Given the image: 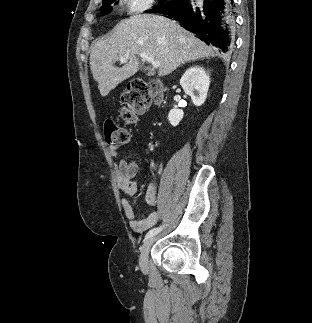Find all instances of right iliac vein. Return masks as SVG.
Listing matches in <instances>:
<instances>
[{"label": "right iliac vein", "mask_w": 312, "mask_h": 323, "mask_svg": "<svg viewBox=\"0 0 312 323\" xmlns=\"http://www.w3.org/2000/svg\"><path fill=\"white\" fill-rule=\"evenodd\" d=\"M153 242L154 239L150 237L147 240H145L142 245L139 265L143 272H146L148 270V255Z\"/></svg>", "instance_id": "1"}]
</instances>
